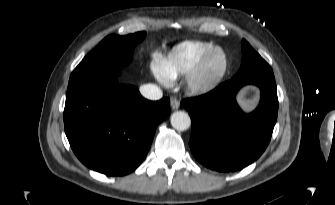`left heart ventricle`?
<instances>
[{
  "mask_svg": "<svg viewBox=\"0 0 335 205\" xmlns=\"http://www.w3.org/2000/svg\"><path fill=\"white\" fill-rule=\"evenodd\" d=\"M222 66V57L220 55L215 56L209 64L207 75L212 76L216 74Z\"/></svg>",
  "mask_w": 335,
  "mask_h": 205,
  "instance_id": "1",
  "label": "left heart ventricle"
}]
</instances>
